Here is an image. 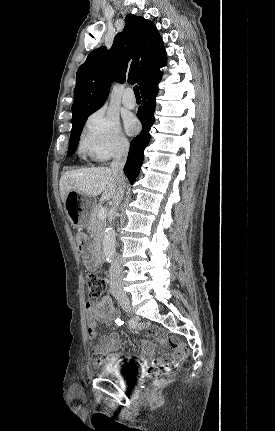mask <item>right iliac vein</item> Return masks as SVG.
Here are the masks:
<instances>
[{
    "instance_id": "63e3f726",
    "label": "right iliac vein",
    "mask_w": 275,
    "mask_h": 431,
    "mask_svg": "<svg viewBox=\"0 0 275 431\" xmlns=\"http://www.w3.org/2000/svg\"><path fill=\"white\" fill-rule=\"evenodd\" d=\"M116 299L118 300L119 304L122 306L124 310L129 312L131 311L130 300L125 293L123 292L117 293Z\"/></svg>"
}]
</instances>
